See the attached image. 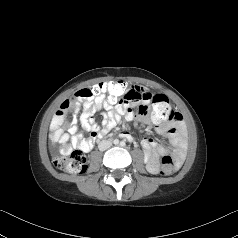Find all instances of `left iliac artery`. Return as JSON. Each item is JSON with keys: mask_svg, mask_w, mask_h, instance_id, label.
Here are the masks:
<instances>
[{"mask_svg": "<svg viewBox=\"0 0 238 238\" xmlns=\"http://www.w3.org/2000/svg\"><path fill=\"white\" fill-rule=\"evenodd\" d=\"M120 145H121V146H125V142L122 141V142L120 143Z\"/></svg>", "mask_w": 238, "mask_h": 238, "instance_id": "1", "label": "left iliac artery"}]
</instances>
